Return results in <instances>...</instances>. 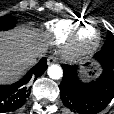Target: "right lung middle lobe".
I'll list each match as a JSON object with an SVG mask.
<instances>
[{
	"mask_svg": "<svg viewBox=\"0 0 114 114\" xmlns=\"http://www.w3.org/2000/svg\"><path fill=\"white\" fill-rule=\"evenodd\" d=\"M15 24H16V21L11 16L0 17V30H8L14 27Z\"/></svg>",
	"mask_w": 114,
	"mask_h": 114,
	"instance_id": "1",
	"label": "right lung middle lobe"
}]
</instances>
